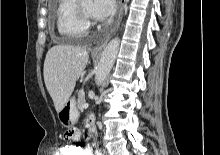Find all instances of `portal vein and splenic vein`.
Masks as SVG:
<instances>
[{"instance_id":"obj_1","label":"portal vein and splenic vein","mask_w":220,"mask_h":155,"mask_svg":"<svg viewBox=\"0 0 220 155\" xmlns=\"http://www.w3.org/2000/svg\"><path fill=\"white\" fill-rule=\"evenodd\" d=\"M89 107V104L88 103H85L84 105H83V108H88Z\"/></svg>"}]
</instances>
